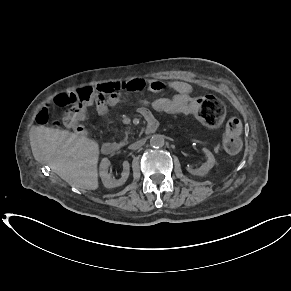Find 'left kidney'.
Masks as SVG:
<instances>
[{
    "label": "left kidney",
    "mask_w": 291,
    "mask_h": 291,
    "mask_svg": "<svg viewBox=\"0 0 291 291\" xmlns=\"http://www.w3.org/2000/svg\"><path fill=\"white\" fill-rule=\"evenodd\" d=\"M203 152L205 153L207 157V161L201 165L198 169H192L188 168V172L193 174V175H199V176H204L206 175L210 169L213 168L215 164V158L214 155L206 148H203Z\"/></svg>",
    "instance_id": "obj_1"
}]
</instances>
